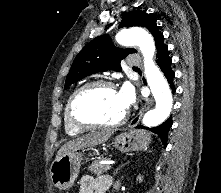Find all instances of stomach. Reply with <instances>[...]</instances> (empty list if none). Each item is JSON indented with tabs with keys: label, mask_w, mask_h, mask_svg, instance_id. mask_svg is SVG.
<instances>
[{
	"label": "stomach",
	"mask_w": 221,
	"mask_h": 193,
	"mask_svg": "<svg viewBox=\"0 0 221 193\" xmlns=\"http://www.w3.org/2000/svg\"><path fill=\"white\" fill-rule=\"evenodd\" d=\"M150 138V133L145 130H129L117 135L114 138L113 145L119 151L125 153L138 151L149 145ZM82 160L83 153L77 151L63 154L56 158L50 167L53 185L60 190L70 188L78 177Z\"/></svg>",
	"instance_id": "0dacf381"
}]
</instances>
